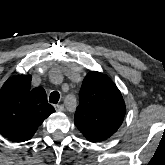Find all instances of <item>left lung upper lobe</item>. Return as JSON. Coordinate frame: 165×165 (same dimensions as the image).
I'll list each match as a JSON object with an SVG mask.
<instances>
[{"label":"left lung upper lobe","mask_w":165,"mask_h":165,"mask_svg":"<svg viewBox=\"0 0 165 165\" xmlns=\"http://www.w3.org/2000/svg\"><path fill=\"white\" fill-rule=\"evenodd\" d=\"M126 113L123 97L106 75L91 71L83 80L74 123L91 142H101L121 126Z\"/></svg>","instance_id":"obj_1"}]
</instances>
